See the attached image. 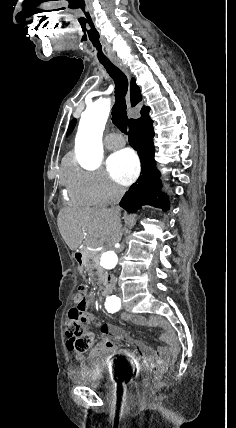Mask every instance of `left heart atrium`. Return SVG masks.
<instances>
[{
  "instance_id": "39dd6f15",
  "label": "left heart atrium",
  "mask_w": 236,
  "mask_h": 428,
  "mask_svg": "<svg viewBox=\"0 0 236 428\" xmlns=\"http://www.w3.org/2000/svg\"><path fill=\"white\" fill-rule=\"evenodd\" d=\"M110 176L122 185H129L139 175V161L136 154L130 149H123L108 160Z\"/></svg>"
}]
</instances>
